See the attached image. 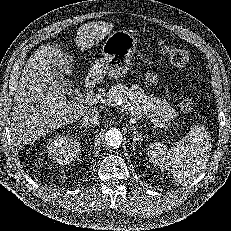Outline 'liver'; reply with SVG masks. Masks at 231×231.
<instances>
[{
  "instance_id": "liver-1",
  "label": "liver",
  "mask_w": 231,
  "mask_h": 231,
  "mask_svg": "<svg viewBox=\"0 0 231 231\" xmlns=\"http://www.w3.org/2000/svg\"><path fill=\"white\" fill-rule=\"evenodd\" d=\"M112 27L103 21L84 24L77 32V46L81 50L92 47L104 39ZM73 61L72 55L58 50V44L42 45L27 60L11 112V142L18 150L46 133L79 120L86 113L98 115L96 108L68 101L51 76L53 67L71 75Z\"/></svg>"
}]
</instances>
